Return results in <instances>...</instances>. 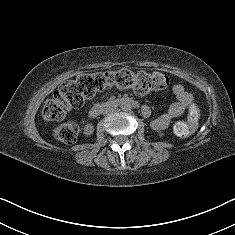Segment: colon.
<instances>
[{
	"mask_svg": "<svg viewBox=\"0 0 235 235\" xmlns=\"http://www.w3.org/2000/svg\"><path fill=\"white\" fill-rule=\"evenodd\" d=\"M168 84V77L157 71L135 74L127 69H120L83 73L63 83L46 100L42 114L46 120L59 121L70 110L80 108L86 100L109 88H131L139 94H146L151 91L163 90ZM188 116L189 121L187 123L179 122L175 125L174 130L177 135L187 136L195 129L199 112L194 104H190L188 107ZM53 133L60 141L73 143L77 139L79 128L74 121L68 120L56 125Z\"/></svg>",
	"mask_w": 235,
	"mask_h": 235,
	"instance_id": "colon-1",
	"label": "colon"
}]
</instances>
